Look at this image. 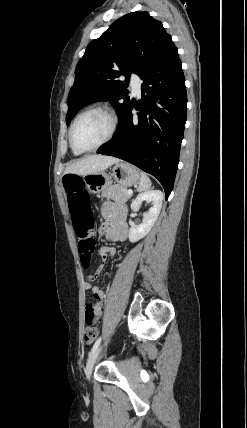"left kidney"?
<instances>
[{
	"label": "left kidney",
	"mask_w": 247,
	"mask_h": 428,
	"mask_svg": "<svg viewBox=\"0 0 247 428\" xmlns=\"http://www.w3.org/2000/svg\"><path fill=\"white\" fill-rule=\"evenodd\" d=\"M143 201L152 202V206L143 214L142 223L129 229V241L132 243L147 235L153 227L162 207L163 194L160 190L140 193L131 203L132 211H138Z\"/></svg>",
	"instance_id": "left-kidney-1"
}]
</instances>
